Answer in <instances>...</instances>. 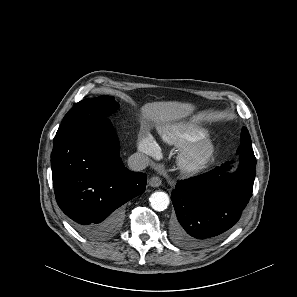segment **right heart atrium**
I'll return each mask as SVG.
<instances>
[{
    "mask_svg": "<svg viewBox=\"0 0 297 297\" xmlns=\"http://www.w3.org/2000/svg\"><path fill=\"white\" fill-rule=\"evenodd\" d=\"M138 149L148 156H156L158 154V146L155 140L148 134H144L139 138Z\"/></svg>",
    "mask_w": 297,
    "mask_h": 297,
    "instance_id": "d8ad5b80",
    "label": "right heart atrium"
}]
</instances>
